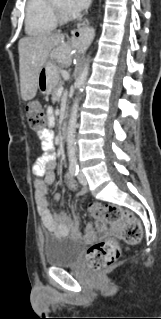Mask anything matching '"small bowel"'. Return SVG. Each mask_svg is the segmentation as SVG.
Here are the masks:
<instances>
[{
  "label": "small bowel",
  "instance_id": "1",
  "mask_svg": "<svg viewBox=\"0 0 161 319\" xmlns=\"http://www.w3.org/2000/svg\"><path fill=\"white\" fill-rule=\"evenodd\" d=\"M47 117L49 126L51 127L54 122L51 110H48ZM36 135L41 143L43 154L37 157L34 161L32 173L36 176L34 181L35 201L42 224L49 231H55L60 235L78 233L80 230V223L77 220L73 221L70 215L61 208L53 215L50 211L47 200L49 186L52 185L55 180L56 162L55 156L52 153L55 149L54 133L49 128L43 132H37ZM46 143L53 144V148L47 149L45 147ZM64 183L69 187L74 186V182L70 177L65 178ZM85 192L86 190L82 188L79 191V195H83ZM53 199L55 202L60 203L62 195L60 193H55L53 195ZM97 228L101 232L100 236H104L108 233L119 232V227L117 225L108 226L104 220H99L97 222ZM85 232L88 238L91 239L94 237V229L91 225L86 226Z\"/></svg>",
  "mask_w": 161,
  "mask_h": 319
}]
</instances>
